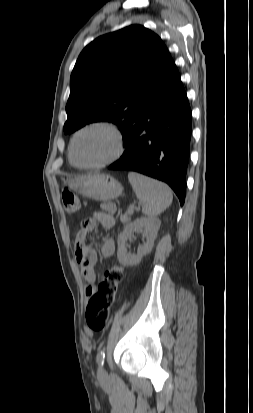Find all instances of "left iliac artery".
Segmentation results:
<instances>
[{
  "label": "left iliac artery",
  "instance_id": "obj_1",
  "mask_svg": "<svg viewBox=\"0 0 253 413\" xmlns=\"http://www.w3.org/2000/svg\"><path fill=\"white\" fill-rule=\"evenodd\" d=\"M97 363L99 366H103L104 364V359H105V351L104 349L100 350L97 354Z\"/></svg>",
  "mask_w": 253,
  "mask_h": 413
}]
</instances>
